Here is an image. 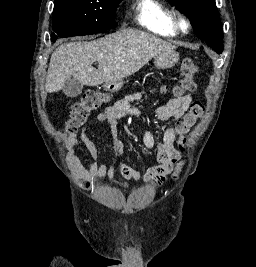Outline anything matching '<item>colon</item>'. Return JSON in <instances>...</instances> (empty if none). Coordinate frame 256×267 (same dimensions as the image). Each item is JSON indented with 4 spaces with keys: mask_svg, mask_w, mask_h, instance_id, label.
<instances>
[{
    "mask_svg": "<svg viewBox=\"0 0 256 267\" xmlns=\"http://www.w3.org/2000/svg\"><path fill=\"white\" fill-rule=\"evenodd\" d=\"M197 63L192 58H185L180 64V82L174 93L180 95L196 89L195 76L197 74ZM109 100L106 93L99 90H90L84 98L76 103L65 123V133L76 134L87 122L92 113L100 109ZM205 111V104L202 100L196 99L189 105L187 113L175 123V129L179 136V148L185 150L187 146V134L200 120ZM179 168V167H178Z\"/></svg>",
    "mask_w": 256,
    "mask_h": 267,
    "instance_id": "colon-1",
    "label": "colon"
}]
</instances>
